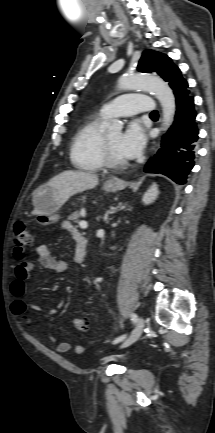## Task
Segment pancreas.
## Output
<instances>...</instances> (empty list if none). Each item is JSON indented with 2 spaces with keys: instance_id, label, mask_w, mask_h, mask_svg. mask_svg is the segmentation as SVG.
I'll list each match as a JSON object with an SVG mask.
<instances>
[{
  "instance_id": "cf45deb5",
  "label": "pancreas",
  "mask_w": 215,
  "mask_h": 433,
  "mask_svg": "<svg viewBox=\"0 0 215 433\" xmlns=\"http://www.w3.org/2000/svg\"><path fill=\"white\" fill-rule=\"evenodd\" d=\"M80 212L76 211L68 216V220L73 221L74 223H79Z\"/></svg>"
}]
</instances>
